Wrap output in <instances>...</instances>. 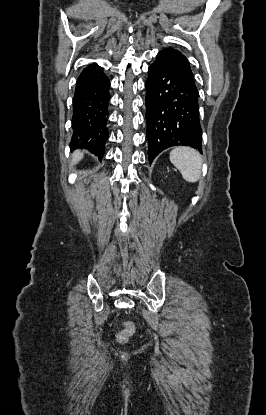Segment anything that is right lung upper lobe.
<instances>
[{
    "mask_svg": "<svg viewBox=\"0 0 266 415\" xmlns=\"http://www.w3.org/2000/svg\"><path fill=\"white\" fill-rule=\"evenodd\" d=\"M94 66H96V64L89 65V66H88V67H86L85 69H88V68H91V67H94Z\"/></svg>",
    "mask_w": 266,
    "mask_h": 415,
    "instance_id": "obj_1",
    "label": "right lung upper lobe"
}]
</instances>
